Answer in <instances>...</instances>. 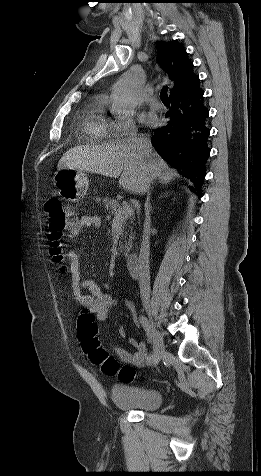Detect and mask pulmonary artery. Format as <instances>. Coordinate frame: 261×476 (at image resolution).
<instances>
[{
	"mask_svg": "<svg viewBox=\"0 0 261 476\" xmlns=\"http://www.w3.org/2000/svg\"><path fill=\"white\" fill-rule=\"evenodd\" d=\"M148 104L150 105L151 108L155 109V110H159L162 108V104L161 102L157 99L156 96H151L148 100H147Z\"/></svg>",
	"mask_w": 261,
	"mask_h": 476,
	"instance_id": "e3ab8cb5",
	"label": "pulmonary artery"
}]
</instances>
